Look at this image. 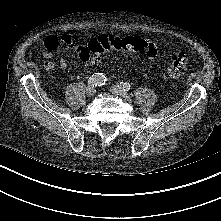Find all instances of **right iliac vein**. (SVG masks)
Instances as JSON below:
<instances>
[{
	"mask_svg": "<svg viewBox=\"0 0 221 221\" xmlns=\"http://www.w3.org/2000/svg\"><path fill=\"white\" fill-rule=\"evenodd\" d=\"M95 93H96L95 87L90 86V87H88L87 90H86V94H87V96H89V97L93 96Z\"/></svg>",
	"mask_w": 221,
	"mask_h": 221,
	"instance_id": "63e3f726",
	"label": "right iliac vein"
}]
</instances>
